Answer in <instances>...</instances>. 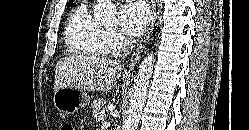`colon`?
Returning a JSON list of instances; mask_svg holds the SVG:
<instances>
[{
  "mask_svg": "<svg viewBox=\"0 0 249 130\" xmlns=\"http://www.w3.org/2000/svg\"><path fill=\"white\" fill-rule=\"evenodd\" d=\"M60 130H75V127L70 123H65Z\"/></svg>",
  "mask_w": 249,
  "mask_h": 130,
  "instance_id": "1",
  "label": "colon"
}]
</instances>
